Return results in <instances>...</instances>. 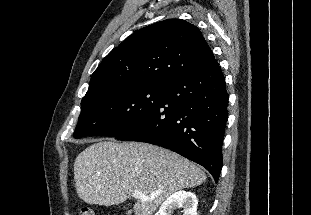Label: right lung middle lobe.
<instances>
[{"label": "right lung middle lobe", "mask_w": 311, "mask_h": 215, "mask_svg": "<svg viewBox=\"0 0 311 215\" xmlns=\"http://www.w3.org/2000/svg\"><path fill=\"white\" fill-rule=\"evenodd\" d=\"M163 85H139L99 91L81 101L74 138L117 136L132 128L162 102Z\"/></svg>", "instance_id": "right-lung-middle-lobe-1"}]
</instances>
